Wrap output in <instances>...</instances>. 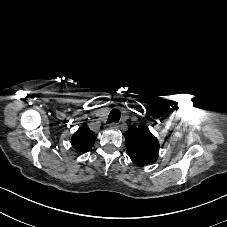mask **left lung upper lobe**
<instances>
[{"label":"left lung upper lobe","instance_id":"1","mask_svg":"<svg viewBox=\"0 0 227 227\" xmlns=\"http://www.w3.org/2000/svg\"><path fill=\"white\" fill-rule=\"evenodd\" d=\"M125 138L127 154L136 165H148L158 155L159 142L146 125L129 128Z\"/></svg>","mask_w":227,"mask_h":227}]
</instances>
